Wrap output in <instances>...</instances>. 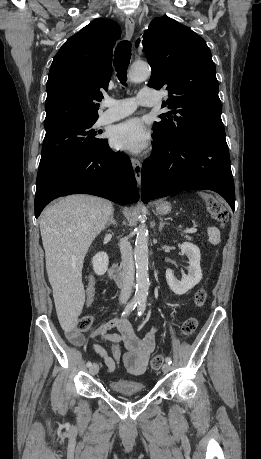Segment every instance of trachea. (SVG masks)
I'll list each match as a JSON object with an SVG mask.
<instances>
[{"mask_svg": "<svg viewBox=\"0 0 261 459\" xmlns=\"http://www.w3.org/2000/svg\"><path fill=\"white\" fill-rule=\"evenodd\" d=\"M131 58V43L127 40L119 42L114 52V66L117 77L123 85L127 81V69Z\"/></svg>", "mask_w": 261, "mask_h": 459, "instance_id": "trachea-1", "label": "trachea"}]
</instances>
